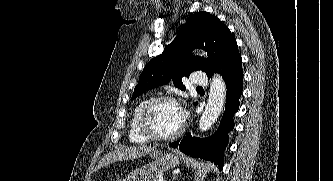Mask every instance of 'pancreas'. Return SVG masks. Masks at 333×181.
<instances>
[{"label": "pancreas", "mask_w": 333, "mask_h": 181, "mask_svg": "<svg viewBox=\"0 0 333 181\" xmlns=\"http://www.w3.org/2000/svg\"><path fill=\"white\" fill-rule=\"evenodd\" d=\"M154 181H159L158 177L154 179Z\"/></svg>", "instance_id": "1"}]
</instances>
